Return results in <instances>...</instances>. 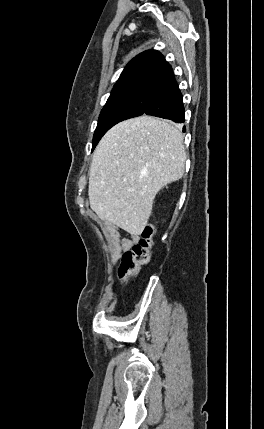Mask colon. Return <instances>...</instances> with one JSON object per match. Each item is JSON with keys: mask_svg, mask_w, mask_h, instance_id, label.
<instances>
[{"mask_svg": "<svg viewBox=\"0 0 264 429\" xmlns=\"http://www.w3.org/2000/svg\"><path fill=\"white\" fill-rule=\"evenodd\" d=\"M154 234L153 226H145L140 240L130 250L122 254L117 270L118 278L122 282L127 283L138 273L140 267L149 261Z\"/></svg>", "mask_w": 264, "mask_h": 429, "instance_id": "colon-1", "label": "colon"}]
</instances>
